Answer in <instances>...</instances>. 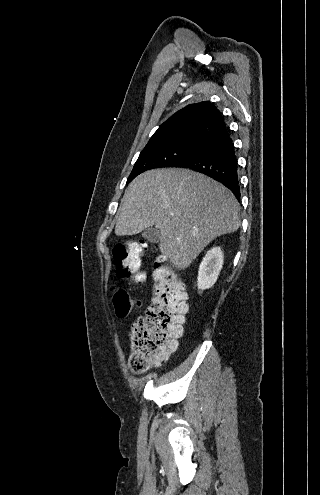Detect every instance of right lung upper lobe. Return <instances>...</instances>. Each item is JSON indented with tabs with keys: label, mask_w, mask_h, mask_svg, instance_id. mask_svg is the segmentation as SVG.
Returning <instances> with one entry per match:
<instances>
[{
	"label": "right lung upper lobe",
	"mask_w": 320,
	"mask_h": 495,
	"mask_svg": "<svg viewBox=\"0 0 320 495\" xmlns=\"http://www.w3.org/2000/svg\"><path fill=\"white\" fill-rule=\"evenodd\" d=\"M220 111L211 102L191 104L173 114L153 134L146 146L199 138L207 140L224 130Z\"/></svg>",
	"instance_id": "1"
}]
</instances>
